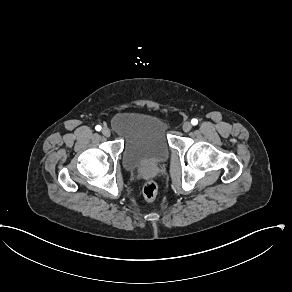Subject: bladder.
Listing matches in <instances>:
<instances>
[{
    "mask_svg": "<svg viewBox=\"0 0 292 292\" xmlns=\"http://www.w3.org/2000/svg\"><path fill=\"white\" fill-rule=\"evenodd\" d=\"M115 134L123 140L122 162L127 169L166 160L170 154L169 124L152 111H124L111 120Z\"/></svg>",
    "mask_w": 292,
    "mask_h": 292,
    "instance_id": "bladder-1",
    "label": "bladder"
}]
</instances>
